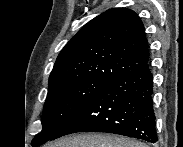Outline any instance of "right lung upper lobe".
Returning a JSON list of instances; mask_svg holds the SVG:
<instances>
[{
	"label": "right lung upper lobe",
	"instance_id": "obj_1",
	"mask_svg": "<svg viewBox=\"0 0 183 147\" xmlns=\"http://www.w3.org/2000/svg\"><path fill=\"white\" fill-rule=\"evenodd\" d=\"M149 67L142 21L135 12L113 8L89 21L62 49L49 87L84 79L106 82Z\"/></svg>",
	"mask_w": 183,
	"mask_h": 147
}]
</instances>
